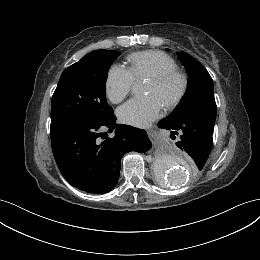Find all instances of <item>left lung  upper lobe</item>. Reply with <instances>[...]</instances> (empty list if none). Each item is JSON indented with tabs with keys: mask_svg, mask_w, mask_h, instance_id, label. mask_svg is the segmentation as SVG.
Wrapping results in <instances>:
<instances>
[{
	"mask_svg": "<svg viewBox=\"0 0 260 260\" xmlns=\"http://www.w3.org/2000/svg\"><path fill=\"white\" fill-rule=\"evenodd\" d=\"M180 59L190 74V86L182 102L168 117L174 120L196 117L215 124L217 106L210 74L189 54L182 52Z\"/></svg>",
	"mask_w": 260,
	"mask_h": 260,
	"instance_id": "1",
	"label": "left lung upper lobe"
}]
</instances>
